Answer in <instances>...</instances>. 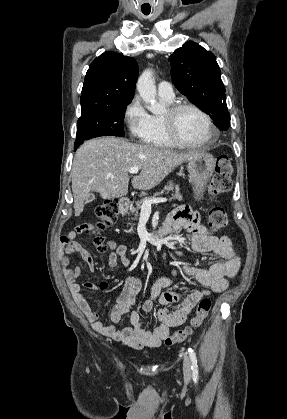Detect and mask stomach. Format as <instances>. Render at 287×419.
Returning a JSON list of instances; mask_svg holds the SVG:
<instances>
[{"label": "stomach", "mask_w": 287, "mask_h": 419, "mask_svg": "<svg viewBox=\"0 0 287 419\" xmlns=\"http://www.w3.org/2000/svg\"><path fill=\"white\" fill-rule=\"evenodd\" d=\"M215 165L216 161L214 157L204 152L188 161L187 169L197 196L202 195L204 188L213 175Z\"/></svg>", "instance_id": "obj_1"}]
</instances>
